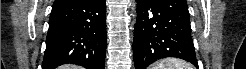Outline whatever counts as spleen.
I'll list each match as a JSON object with an SVG mask.
<instances>
[{"instance_id": "1", "label": "spleen", "mask_w": 246, "mask_h": 69, "mask_svg": "<svg viewBox=\"0 0 246 69\" xmlns=\"http://www.w3.org/2000/svg\"><path fill=\"white\" fill-rule=\"evenodd\" d=\"M152 69H193V67L181 59L167 58L156 63Z\"/></svg>"}]
</instances>
